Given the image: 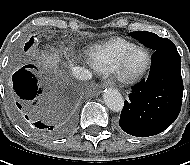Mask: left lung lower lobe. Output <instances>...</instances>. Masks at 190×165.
I'll return each instance as SVG.
<instances>
[{"mask_svg":"<svg viewBox=\"0 0 190 165\" xmlns=\"http://www.w3.org/2000/svg\"><path fill=\"white\" fill-rule=\"evenodd\" d=\"M182 96L181 57L171 42L154 51L148 79L133 87L119 125L137 137L161 133L178 117Z\"/></svg>","mask_w":190,"mask_h":165,"instance_id":"0a47b994","label":"left lung lower lobe"}]
</instances>
